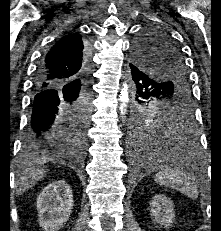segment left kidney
<instances>
[{
    "instance_id": "obj_1",
    "label": "left kidney",
    "mask_w": 221,
    "mask_h": 231,
    "mask_svg": "<svg viewBox=\"0 0 221 231\" xmlns=\"http://www.w3.org/2000/svg\"><path fill=\"white\" fill-rule=\"evenodd\" d=\"M150 214L155 223L170 227L174 218V203L164 195H155L150 202Z\"/></svg>"
}]
</instances>
